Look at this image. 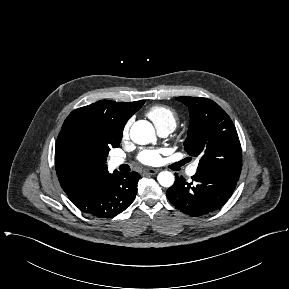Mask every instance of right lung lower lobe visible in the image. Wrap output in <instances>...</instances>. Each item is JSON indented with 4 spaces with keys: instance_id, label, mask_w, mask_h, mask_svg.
<instances>
[{
    "instance_id": "98d812e1",
    "label": "right lung lower lobe",
    "mask_w": 289,
    "mask_h": 289,
    "mask_svg": "<svg viewBox=\"0 0 289 289\" xmlns=\"http://www.w3.org/2000/svg\"><path fill=\"white\" fill-rule=\"evenodd\" d=\"M140 177L136 172H107L70 197V200L87 214L112 218L133 202Z\"/></svg>"
}]
</instances>
